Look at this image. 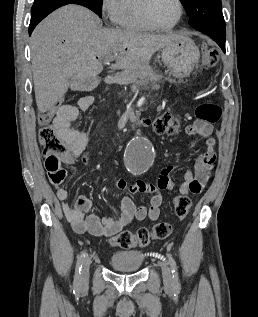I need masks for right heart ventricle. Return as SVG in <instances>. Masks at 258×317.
Listing matches in <instances>:
<instances>
[{
	"label": "right heart ventricle",
	"instance_id": "e07e8e85",
	"mask_svg": "<svg viewBox=\"0 0 258 317\" xmlns=\"http://www.w3.org/2000/svg\"><path fill=\"white\" fill-rule=\"evenodd\" d=\"M145 0H121L120 26L126 30L147 31L140 21V9Z\"/></svg>",
	"mask_w": 258,
	"mask_h": 317
}]
</instances>
